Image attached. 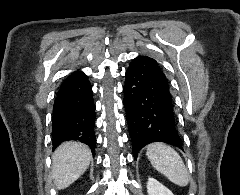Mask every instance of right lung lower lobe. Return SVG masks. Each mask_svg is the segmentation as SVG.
<instances>
[{
    "instance_id": "obj_1",
    "label": "right lung lower lobe",
    "mask_w": 240,
    "mask_h": 195,
    "mask_svg": "<svg viewBox=\"0 0 240 195\" xmlns=\"http://www.w3.org/2000/svg\"><path fill=\"white\" fill-rule=\"evenodd\" d=\"M92 86L83 72L66 77L57 91L52 114L53 150L64 141L79 140L94 154L96 137Z\"/></svg>"
}]
</instances>
